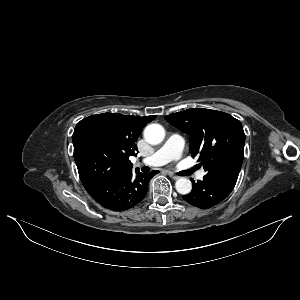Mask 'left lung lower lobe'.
I'll use <instances>...</instances> for the list:
<instances>
[{"label":"left lung lower lobe","mask_w":300,"mask_h":300,"mask_svg":"<svg viewBox=\"0 0 300 300\" xmlns=\"http://www.w3.org/2000/svg\"><path fill=\"white\" fill-rule=\"evenodd\" d=\"M191 181L193 183L192 191L184 195L183 199L187 203L203 209L211 208L223 201L234 188L206 177H203L202 181L195 182L193 179Z\"/></svg>","instance_id":"left-lung-lower-lobe-1"}]
</instances>
